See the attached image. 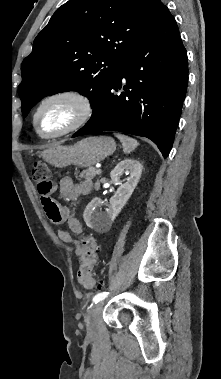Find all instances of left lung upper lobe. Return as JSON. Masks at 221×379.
Instances as JSON below:
<instances>
[{
  "instance_id": "obj_1",
  "label": "left lung upper lobe",
  "mask_w": 221,
  "mask_h": 379,
  "mask_svg": "<svg viewBox=\"0 0 221 379\" xmlns=\"http://www.w3.org/2000/svg\"><path fill=\"white\" fill-rule=\"evenodd\" d=\"M163 8L161 0H69L59 7L21 65L23 116L45 96L70 90L93 107Z\"/></svg>"
}]
</instances>
